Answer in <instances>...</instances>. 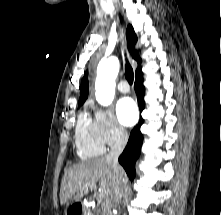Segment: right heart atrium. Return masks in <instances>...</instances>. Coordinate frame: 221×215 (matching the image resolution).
Instances as JSON below:
<instances>
[{
	"label": "right heart atrium",
	"mask_w": 221,
	"mask_h": 215,
	"mask_svg": "<svg viewBox=\"0 0 221 215\" xmlns=\"http://www.w3.org/2000/svg\"><path fill=\"white\" fill-rule=\"evenodd\" d=\"M93 124L97 137L103 145H118L127 138L126 130L118 123L109 108H94Z\"/></svg>",
	"instance_id": "obj_1"
}]
</instances>
